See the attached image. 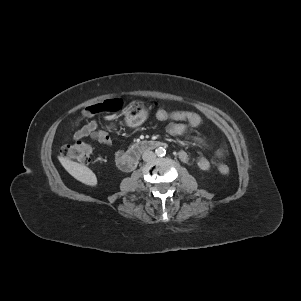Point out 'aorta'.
Wrapping results in <instances>:
<instances>
[{
  "label": "aorta",
  "instance_id": "obj_1",
  "mask_svg": "<svg viewBox=\"0 0 301 301\" xmlns=\"http://www.w3.org/2000/svg\"><path fill=\"white\" fill-rule=\"evenodd\" d=\"M155 154L157 156H164L166 154V150L163 148V147H158L156 150H155Z\"/></svg>",
  "mask_w": 301,
  "mask_h": 301
}]
</instances>
